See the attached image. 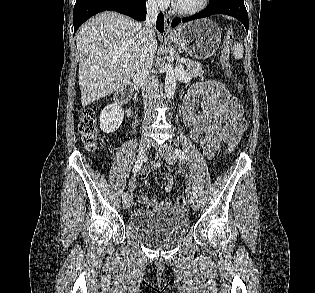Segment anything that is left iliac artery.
<instances>
[{
	"label": "left iliac artery",
	"instance_id": "44dca946",
	"mask_svg": "<svg viewBox=\"0 0 315 293\" xmlns=\"http://www.w3.org/2000/svg\"><path fill=\"white\" fill-rule=\"evenodd\" d=\"M175 154H176L177 158L181 162L185 161V154L183 153V151L180 148H176ZM192 192H193V196L198 198V189H197V187L194 184H193V187H192Z\"/></svg>",
	"mask_w": 315,
	"mask_h": 293
}]
</instances>
